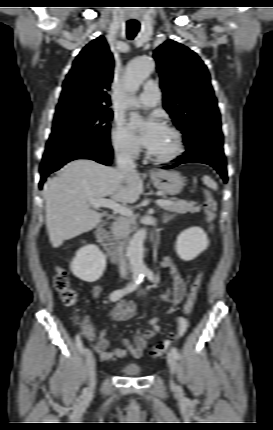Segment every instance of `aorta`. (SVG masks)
<instances>
[{"mask_svg":"<svg viewBox=\"0 0 273 430\" xmlns=\"http://www.w3.org/2000/svg\"><path fill=\"white\" fill-rule=\"evenodd\" d=\"M154 69V62L150 57H140L132 60L125 74V89L130 95H134L140 85L150 76ZM133 117L138 119L140 116L133 113ZM146 229L142 228L135 232L127 247L126 256L129 260L131 269L134 273H143L147 271L144 264V240L146 238Z\"/></svg>","mask_w":273,"mask_h":430,"instance_id":"1","label":"aorta"}]
</instances>
